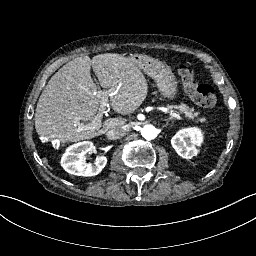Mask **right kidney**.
Returning <instances> with one entry per match:
<instances>
[{"label":"right kidney","mask_w":256,"mask_h":256,"mask_svg":"<svg viewBox=\"0 0 256 256\" xmlns=\"http://www.w3.org/2000/svg\"><path fill=\"white\" fill-rule=\"evenodd\" d=\"M94 145L92 142L85 141L70 146L63 154L61 166L72 175L96 176L104 169L107 164L105 156L96 158L94 164L86 163L85 155L90 153Z\"/></svg>","instance_id":"ca27d5eb"}]
</instances>
